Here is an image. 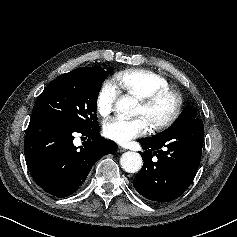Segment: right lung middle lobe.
Segmentation results:
<instances>
[{
  "label": "right lung middle lobe",
  "instance_id": "obj_1",
  "mask_svg": "<svg viewBox=\"0 0 237 237\" xmlns=\"http://www.w3.org/2000/svg\"><path fill=\"white\" fill-rule=\"evenodd\" d=\"M108 72L102 67H81L53 80L38 96L31 118L67 124L77 129L98 125L96 107Z\"/></svg>",
  "mask_w": 237,
  "mask_h": 237
}]
</instances>
